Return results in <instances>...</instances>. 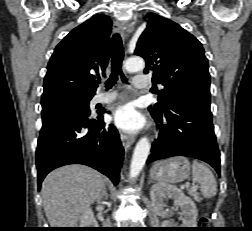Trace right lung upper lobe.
Here are the masks:
<instances>
[{
    "instance_id": "cb5924a9",
    "label": "right lung upper lobe",
    "mask_w": 252,
    "mask_h": 231,
    "mask_svg": "<svg viewBox=\"0 0 252 231\" xmlns=\"http://www.w3.org/2000/svg\"><path fill=\"white\" fill-rule=\"evenodd\" d=\"M111 27L109 17L97 15L64 37L48 63L42 100L61 95H95L93 73H104L108 64Z\"/></svg>"
}]
</instances>
